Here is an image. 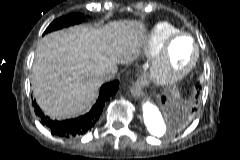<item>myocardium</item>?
Listing matches in <instances>:
<instances>
[{"mask_svg": "<svg viewBox=\"0 0 240 160\" xmlns=\"http://www.w3.org/2000/svg\"><path fill=\"white\" fill-rule=\"evenodd\" d=\"M181 38L190 40L193 47V54L184 66L172 68L170 66L171 47L176 40ZM199 56L200 47L195 38L188 33L178 32L167 39L158 54L150 59L151 62L148 69L149 77L157 85H171L187 76L194 69Z\"/></svg>", "mask_w": 240, "mask_h": 160, "instance_id": "1", "label": "myocardium"}]
</instances>
